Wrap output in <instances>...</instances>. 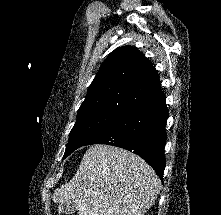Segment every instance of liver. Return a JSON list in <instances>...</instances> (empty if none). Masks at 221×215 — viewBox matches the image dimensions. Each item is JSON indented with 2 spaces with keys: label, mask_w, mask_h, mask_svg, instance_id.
<instances>
[{
  "label": "liver",
  "mask_w": 221,
  "mask_h": 215,
  "mask_svg": "<svg viewBox=\"0 0 221 215\" xmlns=\"http://www.w3.org/2000/svg\"><path fill=\"white\" fill-rule=\"evenodd\" d=\"M155 171L123 148L96 144L85 152L75 176L53 194L73 202L78 215H144L160 192Z\"/></svg>",
  "instance_id": "liver-1"
}]
</instances>
